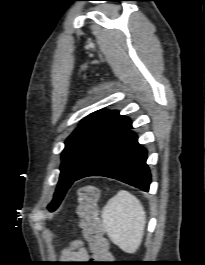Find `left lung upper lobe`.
<instances>
[{
  "label": "left lung upper lobe",
  "instance_id": "left-lung-upper-lobe-1",
  "mask_svg": "<svg viewBox=\"0 0 205 265\" xmlns=\"http://www.w3.org/2000/svg\"><path fill=\"white\" fill-rule=\"evenodd\" d=\"M130 119L118 111L99 110L85 117L79 127L65 141L62 152L61 173L52 202L53 212L82 169L123 129Z\"/></svg>",
  "mask_w": 205,
  "mask_h": 265
}]
</instances>
